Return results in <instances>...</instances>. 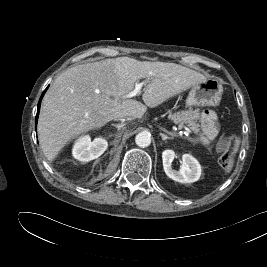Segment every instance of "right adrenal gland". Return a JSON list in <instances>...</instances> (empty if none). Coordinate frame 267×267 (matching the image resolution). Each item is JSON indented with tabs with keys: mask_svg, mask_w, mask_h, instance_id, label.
Returning a JSON list of instances; mask_svg holds the SVG:
<instances>
[{
	"mask_svg": "<svg viewBox=\"0 0 267 267\" xmlns=\"http://www.w3.org/2000/svg\"><path fill=\"white\" fill-rule=\"evenodd\" d=\"M112 126L116 127L117 130L119 131L121 128H123L125 126V123H121V124H112Z\"/></svg>",
	"mask_w": 267,
	"mask_h": 267,
	"instance_id": "obj_1",
	"label": "right adrenal gland"
}]
</instances>
